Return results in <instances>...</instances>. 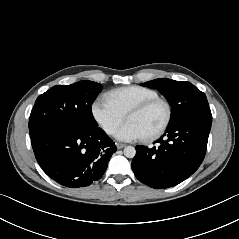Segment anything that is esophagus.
I'll return each mask as SVG.
<instances>
[{"label":"esophagus","mask_w":239,"mask_h":239,"mask_svg":"<svg viewBox=\"0 0 239 239\" xmlns=\"http://www.w3.org/2000/svg\"><path fill=\"white\" fill-rule=\"evenodd\" d=\"M116 146H117L118 149H122V148H124L126 145H125V144H122V143H117Z\"/></svg>","instance_id":"obj_1"}]
</instances>
